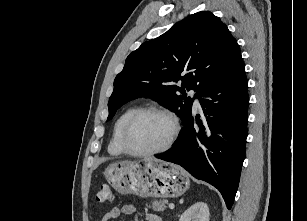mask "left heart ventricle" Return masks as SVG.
Masks as SVG:
<instances>
[{
  "mask_svg": "<svg viewBox=\"0 0 307 221\" xmlns=\"http://www.w3.org/2000/svg\"><path fill=\"white\" fill-rule=\"evenodd\" d=\"M171 131L172 125L168 118L159 114H147L134 125L129 141L137 150H153L166 142Z\"/></svg>",
  "mask_w": 307,
  "mask_h": 221,
  "instance_id": "left-heart-ventricle-1",
  "label": "left heart ventricle"
}]
</instances>
